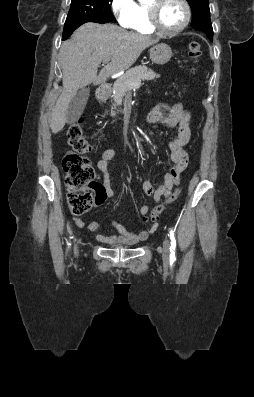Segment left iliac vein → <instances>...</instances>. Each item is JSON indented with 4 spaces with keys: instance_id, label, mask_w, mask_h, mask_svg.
Returning a JSON list of instances; mask_svg holds the SVG:
<instances>
[{
    "instance_id": "4c4485c4",
    "label": "left iliac vein",
    "mask_w": 254,
    "mask_h": 397,
    "mask_svg": "<svg viewBox=\"0 0 254 397\" xmlns=\"http://www.w3.org/2000/svg\"><path fill=\"white\" fill-rule=\"evenodd\" d=\"M169 255H170V242L167 238H165L163 241V252H162V257L165 262L168 261Z\"/></svg>"
}]
</instances>
